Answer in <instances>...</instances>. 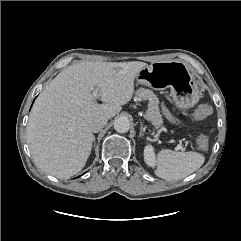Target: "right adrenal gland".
I'll use <instances>...</instances> for the list:
<instances>
[{
  "label": "right adrenal gland",
  "instance_id": "obj_1",
  "mask_svg": "<svg viewBox=\"0 0 241 241\" xmlns=\"http://www.w3.org/2000/svg\"><path fill=\"white\" fill-rule=\"evenodd\" d=\"M93 142H94V145H95V136H93Z\"/></svg>",
  "mask_w": 241,
  "mask_h": 241
}]
</instances>
